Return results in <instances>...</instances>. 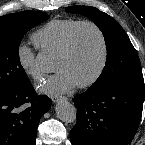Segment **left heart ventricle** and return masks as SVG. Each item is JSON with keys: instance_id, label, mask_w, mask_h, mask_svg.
Instances as JSON below:
<instances>
[{"instance_id": "obj_1", "label": "left heart ventricle", "mask_w": 145, "mask_h": 145, "mask_svg": "<svg viewBox=\"0 0 145 145\" xmlns=\"http://www.w3.org/2000/svg\"><path fill=\"white\" fill-rule=\"evenodd\" d=\"M102 59V46L97 32L90 26L79 29L72 52L67 57H56V71H66L77 84L90 79Z\"/></svg>"}]
</instances>
